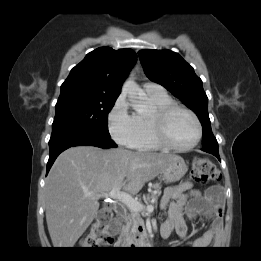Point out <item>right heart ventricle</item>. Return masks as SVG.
I'll return each instance as SVG.
<instances>
[{
  "instance_id": "1",
  "label": "right heart ventricle",
  "mask_w": 261,
  "mask_h": 261,
  "mask_svg": "<svg viewBox=\"0 0 261 261\" xmlns=\"http://www.w3.org/2000/svg\"><path fill=\"white\" fill-rule=\"evenodd\" d=\"M146 95L152 109L150 112H135L133 114L137 124V137L132 147L142 151L158 150L161 148V146L157 144L152 134L150 126V114L154 110L163 108L173 103V100L166 92H146Z\"/></svg>"
}]
</instances>
